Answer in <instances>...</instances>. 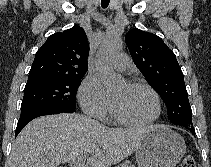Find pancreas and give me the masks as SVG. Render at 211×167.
<instances>
[{"mask_svg":"<svg viewBox=\"0 0 211 167\" xmlns=\"http://www.w3.org/2000/svg\"><path fill=\"white\" fill-rule=\"evenodd\" d=\"M120 167H135V166L132 164H129L128 162H125V163L121 164Z\"/></svg>","mask_w":211,"mask_h":167,"instance_id":"1","label":"pancreas"}]
</instances>
